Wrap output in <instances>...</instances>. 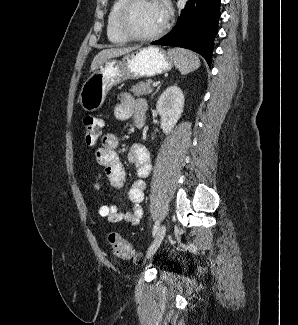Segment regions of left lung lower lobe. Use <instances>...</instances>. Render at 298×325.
I'll return each mask as SVG.
<instances>
[{
	"mask_svg": "<svg viewBox=\"0 0 298 325\" xmlns=\"http://www.w3.org/2000/svg\"><path fill=\"white\" fill-rule=\"evenodd\" d=\"M221 0H189L176 26L153 45L177 46L201 54L211 64L213 41L218 31Z\"/></svg>",
	"mask_w": 298,
	"mask_h": 325,
	"instance_id": "0a47b994",
	"label": "left lung lower lobe"
}]
</instances>
